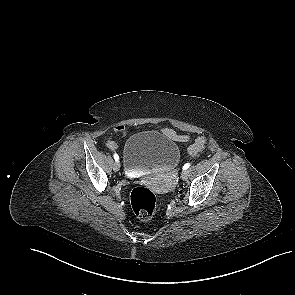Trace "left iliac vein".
I'll use <instances>...</instances> for the list:
<instances>
[{
  "label": "left iliac vein",
  "instance_id": "left-iliac-vein-1",
  "mask_svg": "<svg viewBox=\"0 0 295 295\" xmlns=\"http://www.w3.org/2000/svg\"><path fill=\"white\" fill-rule=\"evenodd\" d=\"M188 174H189V172L187 170H183L181 173V178L183 180H186L188 178Z\"/></svg>",
  "mask_w": 295,
  "mask_h": 295
}]
</instances>
